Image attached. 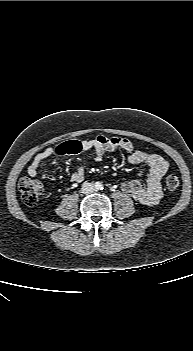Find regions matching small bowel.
Returning <instances> with one entry per match:
<instances>
[{
    "mask_svg": "<svg viewBox=\"0 0 193 351\" xmlns=\"http://www.w3.org/2000/svg\"><path fill=\"white\" fill-rule=\"evenodd\" d=\"M89 150L93 151L96 161H101L107 152L126 151L129 154V162L133 165L147 166L148 174L145 183L138 179L123 182L121 184L122 192L131 196L135 201L148 206L155 205L162 198L161 181L169 168V163L160 155L135 149L133 143L127 138L103 135L83 141L67 140L65 143H58L55 146V153L58 156H66L67 154L84 155ZM53 153L54 149L52 147H47L38 153L28 166V174L31 177L37 176L41 162L52 156ZM48 178L53 179L54 177L49 174ZM84 178V169L79 165L72 172L70 180L77 184L82 182Z\"/></svg>",
    "mask_w": 193,
    "mask_h": 351,
    "instance_id": "obj_1",
    "label": "small bowel"
}]
</instances>
